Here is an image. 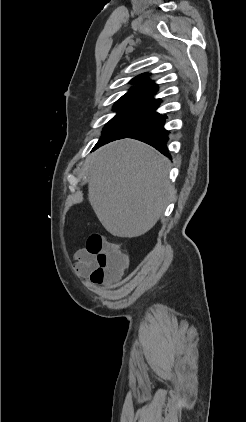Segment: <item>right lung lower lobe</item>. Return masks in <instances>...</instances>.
Instances as JSON below:
<instances>
[{
  "label": "right lung lower lobe",
  "instance_id": "obj_1",
  "mask_svg": "<svg viewBox=\"0 0 246 422\" xmlns=\"http://www.w3.org/2000/svg\"><path fill=\"white\" fill-rule=\"evenodd\" d=\"M166 116H162L154 123L144 127L143 129L133 133L132 135L128 136V138L137 139L140 141H143L154 148H156L158 151H160L162 154L169 156L168 149L166 147V144L168 142V131L164 129V122Z\"/></svg>",
  "mask_w": 246,
  "mask_h": 422
}]
</instances>
